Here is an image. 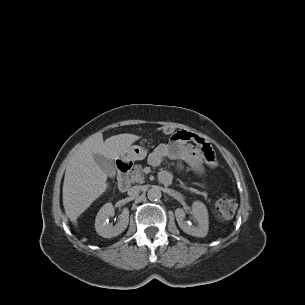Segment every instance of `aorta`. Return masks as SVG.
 Segmentation results:
<instances>
[{"mask_svg": "<svg viewBox=\"0 0 305 305\" xmlns=\"http://www.w3.org/2000/svg\"><path fill=\"white\" fill-rule=\"evenodd\" d=\"M147 196L150 201H157L161 198V191L157 187H152L149 189Z\"/></svg>", "mask_w": 305, "mask_h": 305, "instance_id": "aorta-1", "label": "aorta"}]
</instances>
